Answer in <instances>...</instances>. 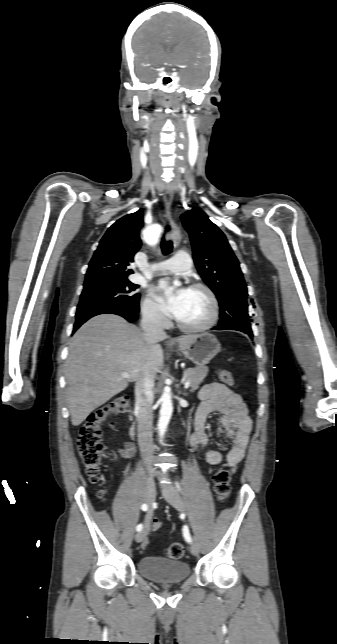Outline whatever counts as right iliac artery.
Listing matches in <instances>:
<instances>
[{
    "label": "right iliac artery",
    "mask_w": 337,
    "mask_h": 644,
    "mask_svg": "<svg viewBox=\"0 0 337 644\" xmlns=\"http://www.w3.org/2000/svg\"><path fill=\"white\" fill-rule=\"evenodd\" d=\"M141 509H142L143 511H147V510H148V505H147V504H142ZM142 528H143V525H142V524H138V525H137V527H136V530H137V531H141V530H142Z\"/></svg>",
    "instance_id": "1"
}]
</instances>
